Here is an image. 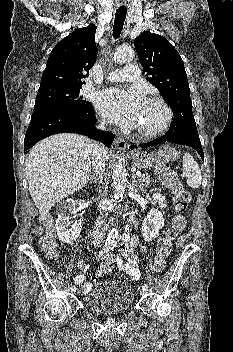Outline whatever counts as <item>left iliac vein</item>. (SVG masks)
Wrapping results in <instances>:
<instances>
[{
  "instance_id": "4c4485c4",
  "label": "left iliac vein",
  "mask_w": 233,
  "mask_h": 352,
  "mask_svg": "<svg viewBox=\"0 0 233 352\" xmlns=\"http://www.w3.org/2000/svg\"><path fill=\"white\" fill-rule=\"evenodd\" d=\"M145 293H146V290L140 289V294H141V295H144Z\"/></svg>"
}]
</instances>
